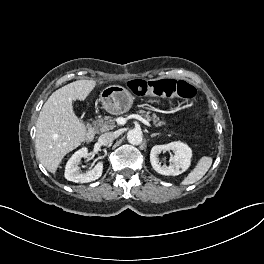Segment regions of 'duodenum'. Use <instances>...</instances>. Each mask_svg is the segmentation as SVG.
Instances as JSON below:
<instances>
[{
    "label": "duodenum",
    "instance_id": "410a0bca",
    "mask_svg": "<svg viewBox=\"0 0 264 264\" xmlns=\"http://www.w3.org/2000/svg\"><path fill=\"white\" fill-rule=\"evenodd\" d=\"M86 139L87 141H92L94 139V130L93 128H88L87 132H86Z\"/></svg>",
    "mask_w": 264,
    "mask_h": 264
}]
</instances>
